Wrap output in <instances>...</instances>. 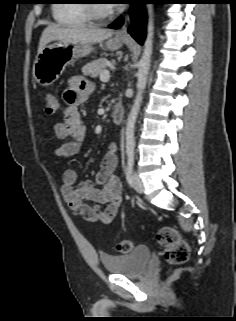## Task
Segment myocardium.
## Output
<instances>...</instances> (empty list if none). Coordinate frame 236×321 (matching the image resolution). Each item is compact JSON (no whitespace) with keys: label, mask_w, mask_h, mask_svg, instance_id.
Masks as SVG:
<instances>
[{"label":"myocardium","mask_w":236,"mask_h":321,"mask_svg":"<svg viewBox=\"0 0 236 321\" xmlns=\"http://www.w3.org/2000/svg\"><path fill=\"white\" fill-rule=\"evenodd\" d=\"M84 8L89 20L94 24H102L110 19H112L117 11L112 5L111 8L106 13H100L97 9L96 0H84Z\"/></svg>","instance_id":"myocardium-1"}]
</instances>
